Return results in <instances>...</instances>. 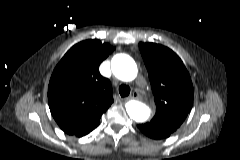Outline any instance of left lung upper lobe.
<instances>
[{
  "label": "left lung upper lobe",
  "mask_w": 240,
  "mask_h": 160,
  "mask_svg": "<svg viewBox=\"0 0 240 160\" xmlns=\"http://www.w3.org/2000/svg\"><path fill=\"white\" fill-rule=\"evenodd\" d=\"M148 70L156 108L150 121L156 127L172 134L191 109L194 89L185 65L168 47L156 43H139Z\"/></svg>",
  "instance_id": "1"
}]
</instances>
